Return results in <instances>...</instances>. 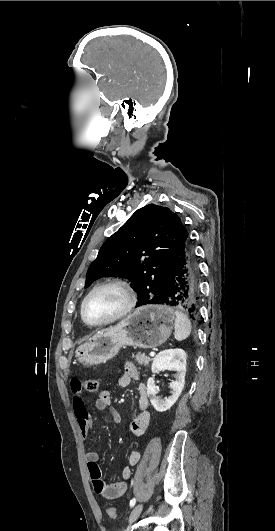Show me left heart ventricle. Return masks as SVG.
Listing matches in <instances>:
<instances>
[{"label":"left heart ventricle","instance_id":"obj_1","mask_svg":"<svg viewBox=\"0 0 275 531\" xmlns=\"http://www.w3.org/2000/svg\"><path fill=\"white\" fill-rule=\"evenodd\" d=\"M125 298L123 293L113 287L94 293L84 305V316L89 322L103 321L123 309Z\"/></svg>","mask_w":275,"mask_h":531}]
</instances>
